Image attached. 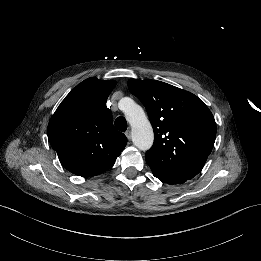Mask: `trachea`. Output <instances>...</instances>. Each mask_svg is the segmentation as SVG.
I'll use <instances>...</instances> for the list:
<instances>
[{
  "mask_svg": "<svg viewBox=\"0 0 261 261\" xmlns=\"http://www.w3.org/2000/svg\"><path fill=\"white\" fill-rule=\"evenodd\" d=\"M115 127L120 131H123V132L126 131L127 127H128L126 119L124 117L116 118Z\"/></svg>",
  "mask_w": 261,
  "mask_h": 261,
  "instance_id": "trachea-1",
  "label": "trachea"
}]
</instances>
